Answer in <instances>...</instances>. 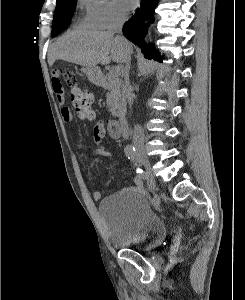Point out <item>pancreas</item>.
<instances>
[{
	"label": "pancreas",
	"mask_w": 245,
	"mask_h": 300,
	"mask_svg": "<svg viewBox=\"0 0 245 300\" xmlns=\"http://www.w3.org/2000/svg\"><path fill=\"white\" fill-rule=\"evenodd\" d=\"M120 75V72L112 73L110 71L106 76L110 91L107 94V107L113 116H119L126 111L125 89Z\"/></svg>",
	"instance_id": "cf45deb5"
}]
</instances>
